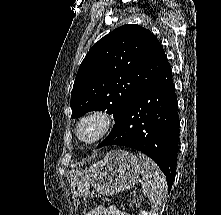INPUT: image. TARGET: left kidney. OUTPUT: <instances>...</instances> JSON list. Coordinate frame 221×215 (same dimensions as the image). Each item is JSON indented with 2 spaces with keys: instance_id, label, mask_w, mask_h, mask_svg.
I'll use <instances>...</instances> for the list:
<instances>
[{
  "instance_id": "5707ae66",
  "label": "left kidney",
  "mask_w": 221,
  "mask_h": 215,
  "mask_svg": "<svg viewBox=\"0 0 221 215\" xmlns=\"http://www.w3.org/2000/svg\"><path fill=\"white\" fill-rule=\"evenodd\" d=\"M139 215H158L155 212H147L145 210H140Z\"/></svg>"
}]
</instances>
